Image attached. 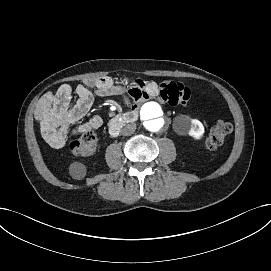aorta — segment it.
<instances>
[{"mask_svg": "<svg viewBox=\"0 0 271 271\" xmlns=\"http://www.w3.org/2000/svg\"><path fill=\"white\" fill-rule=\"evenodd\" d=\"M139 116L145 128L150 132H159L165 129L169 121L168 110L154 101L145 103L140 108Z\"/></svg>", "mask_w": 271, "mask_h": 271, "instance_id": "obj_1", "label": "aorta"}]
</instances>
